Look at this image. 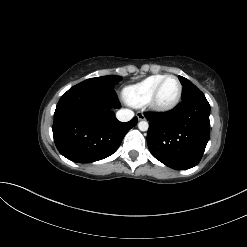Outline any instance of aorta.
Returning <instances> with one entry per match:
<instances>
[{
    "label": "aorta",
    "instance_id": "obj_1",
    "mask_svg": "<svg viewBox=\"0 0 247 247\" xmlns=\"http://www.w3.org/2000/svg\"><path fill=\"white\" fill-rule=\"evenodd\" d=\"M138 128H139L140 131H147L148 128H149V124L146 121H140L138 123Z\"/></svg>",
    "mask_w": 247,
    "mask_h": 247
}]
</instances>
